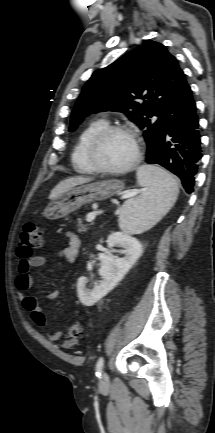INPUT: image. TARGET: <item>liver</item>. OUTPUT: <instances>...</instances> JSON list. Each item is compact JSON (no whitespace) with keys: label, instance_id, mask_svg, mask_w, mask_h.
I'll return each instance as SVG.
<instances>
[{"label":"liver","instance_id":"1","mask_svg":"<svg viewBox=\"0 0 215 433\" xmlns=\"http://www.w3.org/2000/svg\"><path fill=\"white\" fill-rule=\"evenodd\" d=\"M92 178H87V177H73V178H68L64 181H61L59 184H57L54 189L51 191L49 198L50 199H55L58 198L59 196H61L63 193H65L66 191H68L69 189L77 186V185H81L84 183H88L90 181H92Z\"/></svg>","mask_w":215,"mask_h":433}]
</instances>
